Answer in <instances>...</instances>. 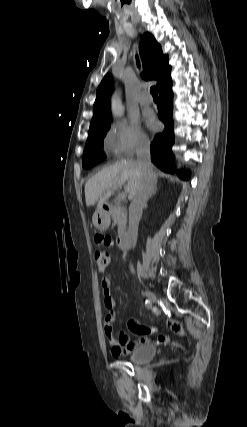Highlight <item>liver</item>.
<instances>
[{
  "mask_svg": "<svg viewBox=\"0 0 247 427\" xmlns=\"http://www.w3.org/2000/svg\"><path fill=\"white\" fill-rule=\"evenodd\" d=\"M142 177V170L133 159L121 160L103 168L85 184L86 205L97 204L99 210L114 190L125 182H127L125 191L129 194V198L133 199L141 185Z\"/></svg>",
  "mask_w": 247,
  "mask_h": 427,
  "instance_id": "1",
  "label": "liver"
}]
</instances>
